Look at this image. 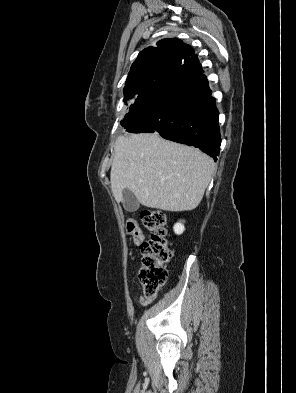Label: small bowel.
<instances>
[{
    "label": "small bowel",
    "instance_id": "obj_1",
    "mask_svg": "<svg viewBox=\"0 0 296 393\" xmlns=\"http://www.w3.org/2000/svg\"><path fill=\"white\" fill-rule=\"evenodd\" d=\"M156 297H157V295H155L153 297L140 295L139 296V302H140L141 305L146 306V305L150 304L151 302H153L156 299Z\"/></svg>",
    "mask_w": 296,
    "mask_h": 393
}]
</instances>
